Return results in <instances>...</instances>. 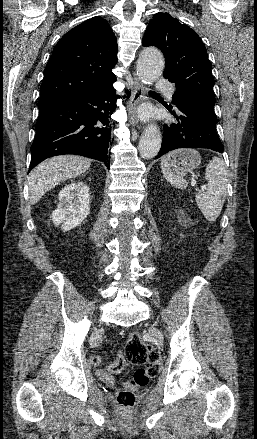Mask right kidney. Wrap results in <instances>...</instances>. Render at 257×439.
<instances>
[{"instance_id": "obj_1", "label": "right kidney", "mask_w": 257, "mask_h": 439, "mask_svg": "<svg viewBox=\"0 0 257 439\" xmlns=\"http://www.w3.org/2000/svg\"><path fill=\"white\" fill-rule=\"evenodd\" d=\"M89 187L83 182H72L59 192V204L52 212L55 226L69 231L80 225L90 212Z\"/></svg>"}]
</instances>
